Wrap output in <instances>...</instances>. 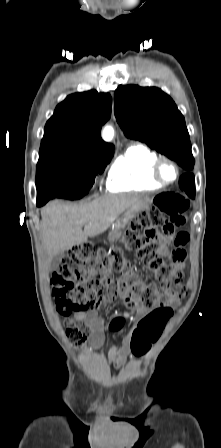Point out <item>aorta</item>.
I'll list each match as a JSON object with an SVG mask.
<instances>
[{
	"mask_svg": "<svg viewBox=\"0 0 221 448\" xmlns=\"http://www.w3.org/2000/svg\"><path fill=\"white\" fill-rule=\"evenodd\" d=\"M114 136V130L111 126H105L102 131V137L106 141H110Z\"/></svg>",
	"mask_w": 221,
	"mask_h": 448,
	"instance_id": "1",
	"label": "aorta"
}]
</instances>
